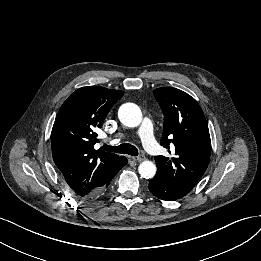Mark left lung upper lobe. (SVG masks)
<instances>
[{
	"label": "left lung upper lobe",
	"mask_w": 261,
	"mask_h": 261,
	"mask_svg": "<svg viewBox=\"0 0 261 261\" xmlns=\"http://www.w3.org/2000/svg\"><path fill=\"white\" fill-rule=\"evenodd\" d=\"M153 93L164 114L160 144L168 149L173 146V157H155L156 174L186 195L209 163L211 140L207 121L199 104L187 93L172 87L158 88Z\"/></svg>",
	"instance_id": "left-lung-upper-lobe-1"
}]
</instances>
